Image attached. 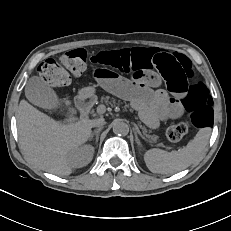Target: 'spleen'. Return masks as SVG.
<instances>
[{
  "instance_id": "3e777b00",
  "label": "spleen",
  "mask_w": 231,
  "mask_h": 231,
  "mask_svg": "<svg viewBox=\"0 0 231 231\" xmlns=\"http://www.w3.org/2000/svg\"><path fill=\"white\" fill-rule=\"evenodd\" d=\"M211 135V128H202L186 147L178 151L167 152L150 149L144 154L148 169L158 174H173L188 168L205 151Z\"/></svg>"
}]
</instances>
